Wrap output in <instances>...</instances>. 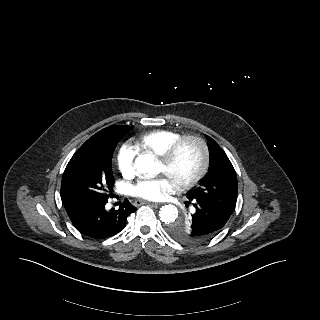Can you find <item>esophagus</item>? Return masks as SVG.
Listing matches in <instances>:
<instances>
[{
  "label": "esophagus",
  "instance_id": "esophagus-1",
  "mask_svg": "<svg viewBox=\"0 0 320 320\" xmlns=\"http://www.w3.org/2000/svg\"><path fill=\"white\" fill-rule=\"evenodd\" d=\"M143 204H151L153 206H159L160 205L159 203H154V202L145 201V200H137V201L134 202L135 206H140V205H143Z\"/></svg>",
  "mask_w": 320,
  "mask_h": 320
}]
</instances>
